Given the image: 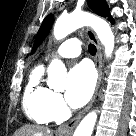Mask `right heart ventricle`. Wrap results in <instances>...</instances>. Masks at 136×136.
<instances>
[{"label": "right heart ventricle", "instance_id": "1", "mask_svg": "<svg viewBox=\"0 0 136 136\" xmlns=\"http://www.w3.org/2000/svg\"><path fill=\"white\" fill-rule=\"evenodd\" d=\"M42 77V66L31 71L23 93V108L32 121L45 124L55 118L49 107L52 91L44 85Z\"/></svg>", "mask_w": 136, "mask_h": 136}]
</instances>
